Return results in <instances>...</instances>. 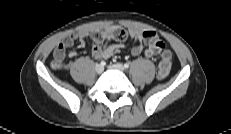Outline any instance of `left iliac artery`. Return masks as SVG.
Here are the masks:
<instances>
[{
	"label": "left iliac artery",
	"instance_id": "1",
	"mask_svg": "<svg viewBox=\"0 0 231 134\" xmlns=\"http://www.w3.org/2000/svg\"><path fill=\"white\" fill-rule=\"evenodd\" d=\"M124 67H125V68H129V64H128V63H125V64H124Z\"/></svg>",
	"mask_w": 231,
	"mask_h": 134
}]
</instances>
